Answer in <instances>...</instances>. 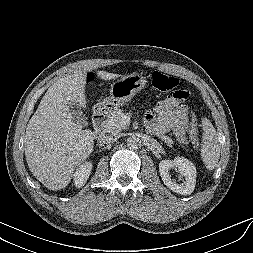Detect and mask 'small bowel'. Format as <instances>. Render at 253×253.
Segmentation results:
<instances>
[{
    "instance_id": "obj_1",
    "label": "small bowel",
    "mask_w": 253,
    "mask_h": 253,
    "mask_svg": "<svg viewBox=\"0 0 253 253\" xmlns=\"http://www.w3.org/2000/svg\"><path fill=\"white\" fill-rule=\"evenodd\" d=\"M183 98L168 97L159 101L146 115L147 127L158 136L172 131L183 143L188 142L189 135L194 131L189 119V110L180 105Z\"/></svg>"
}]
</instances>
